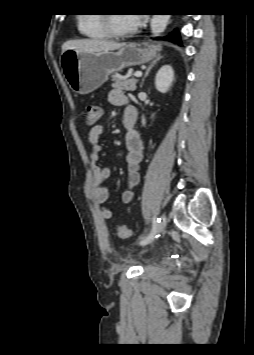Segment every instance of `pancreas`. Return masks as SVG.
I'll return each mask as SVG.
<instances>
[{
  "label": "pancreas",
  "instance_id": "cf45deb5",
  "mask_svg": "<svg viewBox=\"0 0 254 355\" xmlns=\"http://www.w3.org/2000/svg\"><path fill=\"white\" fill-rule=\"evenodd\" d=\"M137 81L135 78L125 79L119 74L112 75L113 87L125 91H135Z\"/></svg>",
  "mask_w": 254,
  "mask_h": 355
}]
</instances>
